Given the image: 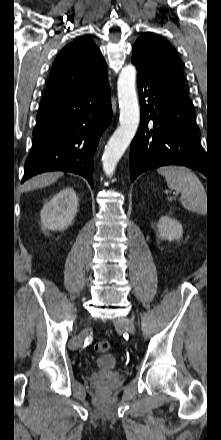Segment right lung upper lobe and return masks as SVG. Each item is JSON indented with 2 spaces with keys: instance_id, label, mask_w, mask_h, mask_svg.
<instances>
[{
  "instance_id": "cb5924a9",
  "label": "right lung upper lobe",
  "mask_w": 221,
  "mask_h": 440,
  "mask_svg": "<svg viewBox=\"0 0 221 440\" xmlns=\"http://www.w3.org/2000/svg\"><path fill=\"white\" fill-rule=\"evenodd\" d=\"M108 83L106 62L95 43L79 37L56 57L44 97L87 92Z\"/></svg>"
}]
</instances>
